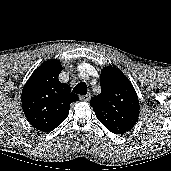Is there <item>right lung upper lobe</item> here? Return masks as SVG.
<instances>
[{"label":"right lung upper lobe","mask_w":171,"mask_h":171,"mask_svg":"<svg viewBox=\"0 0 171 171\" xmlns=\"http://www.w3.org/2000/svg\"><path fill=\"white\" fill-rule=\"evenodd\" d=\"M62 65L48 60L38 67L23 87L21 102L29 123L39 131L50 132L67 117L70 104L78 97L58 76Z\"/></svg>","instance_id":"cb5924a9"}]
</instances>
